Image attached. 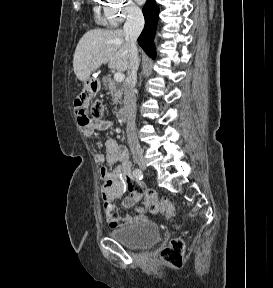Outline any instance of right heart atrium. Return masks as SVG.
I'll use <instances>...</instances> for the list:
<instances>
[{"mask_svg":"<svg viewBox=\"0 0 273 288\" xmlns=\"http://www.w3.org/2000/svg\"><path fill=\"white\" fill-rule=\"evenodd\" d=\"M102 5L106 20L111 26H118L140 12L133 0H102Z\"/></svg>","mask_w":273,"mask_h":288,"instance_id":"1","label":"right heart atrium"}]
</instances>
